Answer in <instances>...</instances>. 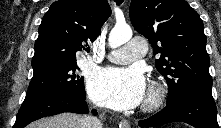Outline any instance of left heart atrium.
Masks as SVG:
<instances>
[{"mask_svg":"<svg viewBox=\"0 0 221 128\" xmlns=\"http://www.w3.org/2000/svg\"><path fill=\"white\" fill-rule=\"evenodd\" d=\"M145 90V78L139 66L100 69L88 79L91 99L116 110L138 106L144 99Z\"/></svg>","mask_w":221,"mask_h":128,"instance_id":"1","label":"left heart atrium"}]
</instances>
